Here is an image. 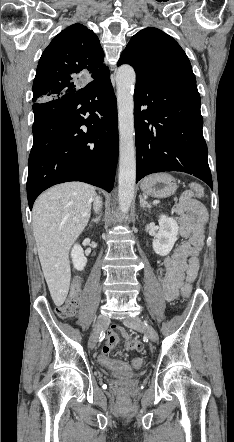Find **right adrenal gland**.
I'll return each mask as SVG.
<instances>
[{"label":"right adrenal gland","mask_w":234,"mask_h":442,"mask_svg":"<svg viewBox=\"0 0 234 442\" xmlns=\"http://www.w3.org/2000/svg\"><path fill=\"white\" fill-rule=\"evenodd\" d=\"M100 218H101V213H99V215H98L96 218L92 219V220H91V223H96V224H98V222L100 221Z\"/></svg>","instance_id":"obj_1"}]
</instances>
